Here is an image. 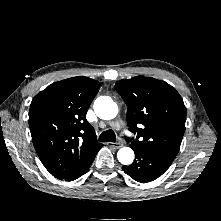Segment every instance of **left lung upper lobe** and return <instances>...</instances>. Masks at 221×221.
Segmentation results:
<instances>
[{"instance_id":"1","label":"left lung upper lobe","mask_w":221,"mask_h":221,"mask_svg":"<svg viewBox=\"0 0 221 221\" xmlns=\"http://www.w3.org/2000/svg\"><path fill=\"white\" fill-rule=\"evenodd\" d=\"M115 89L127 105L129 129L137 133V139L141 137L131 145L175 158L186 121V107L175 88L164 81L136 76L118 81Z\"/></svg>"}]
</instances>
